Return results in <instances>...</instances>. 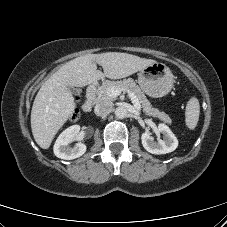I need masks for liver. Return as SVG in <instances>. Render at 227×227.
Wrapping results in <instances>:
<instances>
[{"label": "liver", "mask_w": 227, "mask_h": 227, "mask_svg": "<svg viewBox=\"0 0 227 227\" xmlns=\"http://www.w3.org/2000/svg\"><path fill=\"white\" fill-rule=\"evenodd\" d=\"M127 53L86 54L64 64L40 88L31 111V129L36 143L48 149L54 136L76 108L69 87H84L107 77L121 79L155 63ZM97 64L103 72L97 70Z\"/></svg>", "instance_id": "liver-1"}]
</instances>
